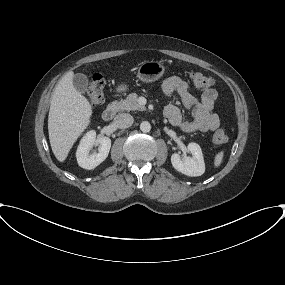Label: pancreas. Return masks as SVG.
<instances>
[{"mask_svg":"<svg viewBox=\"0 0 285 285\" xmlns=\"http://www.w3.org/2000/svg\"><path fill=\"white\" fill-rule=\"evenodd\" d=\"M111 106L115 111L146 110L145 106L138 104V95L136 93L129 94L124 100L112 102Z\"/></svg>","mask_w":285,"mask_h":285,"instance_id":"cf45deb5","label":"pancreas"}]
</instances>
